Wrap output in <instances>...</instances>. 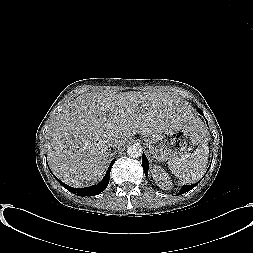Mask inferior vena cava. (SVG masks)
Returning <instances> with one entry per match:
<instances>
[{"instance_id":"602c4592","label":"inferior vena cava","mask_w":253,"mask_h":253,"mask_svg":"<svg viewBox=\"0 0 253 253\" xmlns=\"http://www.w3.org/2000/svg\"><path fill=\"white\" fill-rule=\"evenodd\" d=\"M110 142L112 143V145H114L116 149H121L123 147L122 138L118 134H113L110 137Z\"/></svg>"}]
</instances>
